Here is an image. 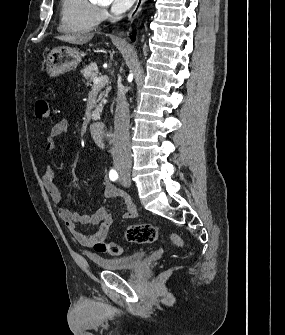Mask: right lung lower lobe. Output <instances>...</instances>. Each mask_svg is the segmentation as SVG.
<instances>
[{
	"mask_svg": "<svg viewBox=\"0 0 285 335\" xmlns=\"http://www.w3.org/2000/svg\"><path fill=\"white\" fill-rule=\"evenodd\" d=\"M132 40H135V33L131 36Z\"/></svg>",
	"mask_w": 285,
	"mask_h": 335,
	"instance_id": "1",
	"label": "right lung lower lobe"
}]
</instances>
